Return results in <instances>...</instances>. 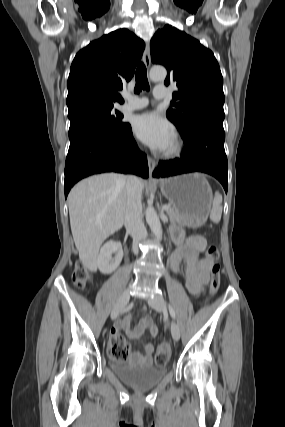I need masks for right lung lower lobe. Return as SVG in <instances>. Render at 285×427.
Segmentation results:
<instances>
[{
    "label": "right lung lower lobe",
    "mask_w": 285,
    "mask_h": 427,
    "mask_svg": "<svg viewBox=\"0 0 285 427\" xmlns=\"http://www.w3.org/2000/svg\"><path fill=\"white\" fill-rule=\"evenodd\" d=\"M103 172L149 176L147 157L138 149L130 124L118 133L90 127L70 138L65 165V197L80 179Z\"/></svg>",
    "instance_id": "1"
}]
</instances>
